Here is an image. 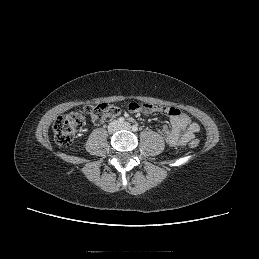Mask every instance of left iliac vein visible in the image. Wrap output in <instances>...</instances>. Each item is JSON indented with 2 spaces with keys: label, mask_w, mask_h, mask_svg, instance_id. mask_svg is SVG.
Wrapping results in <instances>:
<instances>
[{
  "label": "left iliac vein",
  "mask_w": 259,
  "mask_h": 259,
  "mask_svg": "<svg viewBox=\"0 0 259 259\" xmlns=\"http://www.w3.org/2000/svg\"><path fill=\"white\" fill-rule=\"evenodd\" d=\"M120 128H121V129L130 130V129H131V125H130V123L125 122V123H123V124L120 125Z\"/></svg>",
  "instance_id": "left-iliac-vein-1"
}]
</instances>
